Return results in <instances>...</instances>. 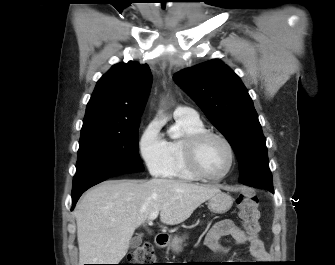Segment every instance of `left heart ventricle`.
Instances as JSON below:
<instances>
[{
	"instance_id": "b2bd125f",
	"label": "left heart ventricle",
	"mask_w": 335,
	"mask_h": 265,
	"mask_svg": "<svg viewBox=\"0 0 335 265\" xmlns=\"http://www.w3.org/2000/svg\"><path fill=\"white\" fill-rule=\"evenodd\" d=\"M229 163L227 147L216 138L208 139L199 152V164L202 170L210 176L222 174Z\"/></svg>"
}]
</instances>
